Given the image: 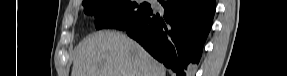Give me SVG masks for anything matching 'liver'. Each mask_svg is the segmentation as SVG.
I'll use <instances>...</instances> for the list:
<instances>
[{"label":"liver","instance_id":"6515ba94","mask_svg":"<svg viewBox=\"0 0 287 76\" xmlns=\"http://www.w3.org/2000/svg\"><path fill=\"white\" fill-rule=\"evenodd\" d=\"M165 68L137 42L114 31L84 38L74 49L71 76H165Z\"/></svg>","mask_w":287,"mask_h":76}]
</instances>
